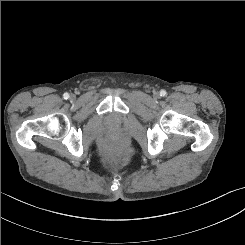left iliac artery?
<instances>
[{
	"instance_id": "1",
	"label": "left iliac artery",
	"mask_w": 245,
	"mask_h": 245,
	"mask_svg": "<svg viewBox=\"0 0 245 245\" xmlns=\"http://www.w3.org/2000/svg\"><path fill=\"white\" fill-rule=\"evenodd\" d=\"M160 94H161V96H165L166 95V91L165 90H161Z\"/></svg>"
}]
</instances>
